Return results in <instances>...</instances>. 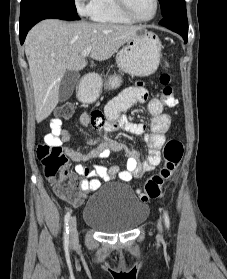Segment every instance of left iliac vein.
<instances>
[{"instance_id":"1","label":"left iliac vein","mask_w":227,"mask_h":279,"mask_svg":"<svg viewBox=\"0 0 227 279\" xmlns=\"http://www.w3.org/2000/svg\"><path fill=\"white\" fill-rule=\"evenodd\" d=\"M158 227H159V229H161V220H159V222H158Z\"/></svg>"}]
</instances>
